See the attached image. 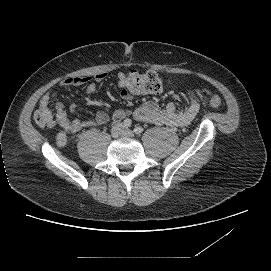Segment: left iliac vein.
<instances>
[{
	"instance_id": "1",
	"label": "left iliac vein",
	"mask_w": 271,
	"mask_h": 271,
	"mask_svg": "<svg viewBox=\"0 0 271 271\" xmlns=\"http://www.w3.org/2000/svg\"><path fill=\"white\" fill-rule=\"evenodd\" d=\"M122 135L125 136V137H133L134 133L129 129H124Z\"/></svg>"
}]
</instances>
